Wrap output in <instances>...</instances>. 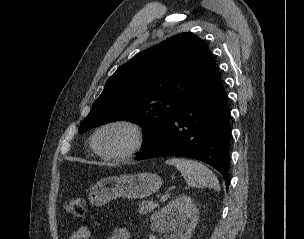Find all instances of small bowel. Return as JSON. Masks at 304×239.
<instances>
[{
    "label": "small bowel",
    "mask_w": 304,
    "mask_h": 239,
    "mask_svg": "<svg viewBox=\"0 0 304 239\" xmlns=\"http://www.w3.org/2000/svg\"><path fill=\"white\" fill-rule=\"evenodd\" d=\"M90 238H91L90 230L85 226H81L75 231H73L68 239H90ZM129 238H130L129 231L125 228H120L115 230L108 239H129Z\"/></svg>",
    "instance_id": "c3829d8e"
}]
</instances>
